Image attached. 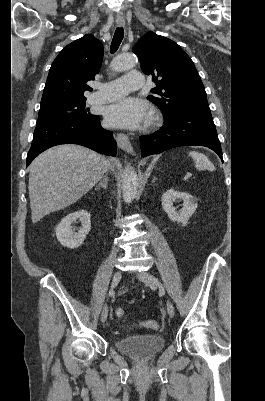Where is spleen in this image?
<instances>
[{"label": "spleen", "instance_id": "spleen-1", "mask_svg": "<svg viewBox=\"0 0 265 401\" xmlns=\"http://www.w3.org/2000/svg\"><path fill=\"white\" fill-rule=\"evenodd\" d=\"M189 154L192 156L194 160V166L195 168H198V170H214V164H212L211 160H209V158H207L206 154H203V152L190 150Z\"/></svg>", "mask_w": 265, "mask_h": 401}]
</instances>
